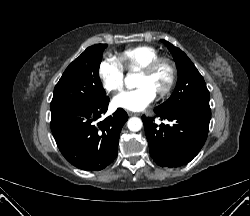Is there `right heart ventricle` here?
Listing matches in <instances>:
<instances>
[{
	"instance_id": "e07e8e85",
	"label": "right heart ventricle",
	"mask_w": 250,
	"mask_h": 216,
	"mask_svg": "<svg viewBox=\"0 0 250 216\" xmlns=\"http://www.w3.org/2000/svg\"><path fill=\"white\" fill-rule=\"evenodd\" d=\"M127 56L129 69L137 70L153 61L157 57V53L150 47H137L129 51Z\"/></svg>"
}]
</instances>
